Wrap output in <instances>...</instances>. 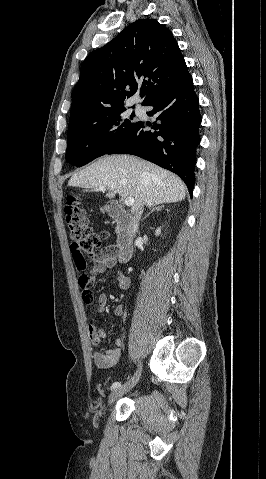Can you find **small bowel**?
<instances>
[{"label":"small bowel","mask_w":266,"mask_h":479,"mask_svg":"<svg viewBox=\"0 0 266 479\" xmlns=\"http://www.w3.org/2000/svg\"><path fill=\"white\" fill-rule=\"evenodd\" d=\"M117 267V260L114 257L113 250L106 248L97 256L95 263L91 269L93 275L104 272L107 269ZM115 283L120 290H126L129 288L130 279L124 273L119 271L114 277ZM107 295L101 293L98 296L96 303L93 305L95 313H101L104 311L107 305ZM114 314L117 317H124L125 310L122 305H118L114 309ZM88 334L90 342L93 346L92 358L95 365L100 369H107L114 366L121 357V349L123 346V339L117 338L114 342L115 347L112 349L100 350L97 347L100 342L107 337V333L98 326L97 321L94 319L88 325Z\"/></svg>","instance_id":"small-bowel-1"}]
</instances>
